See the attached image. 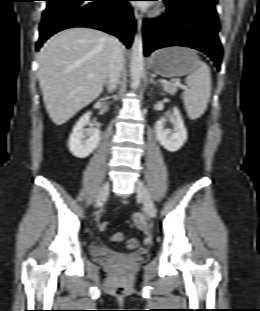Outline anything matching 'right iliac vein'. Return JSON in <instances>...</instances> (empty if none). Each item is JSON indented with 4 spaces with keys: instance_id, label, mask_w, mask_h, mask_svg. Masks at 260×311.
<instances>
[{
    "instance_id": "right-iliac-vein-1",
    "label": "right iliac vein",
    "mask_w": 260,
    "mask_h": 311,
    "mask_svg": "<svg viewBox=\"0 0 260 311\" xmlns=\"http://www.w3.org/2000/svg\"><path fill=\"white\" fill-rule=\"evenodd\" d=\"M108 193H109V183L106 182L102 186V188H101V190H100V192L96 198V206H100L102 204V202L107 198Z\"/></svg>"
}]
</instances>
